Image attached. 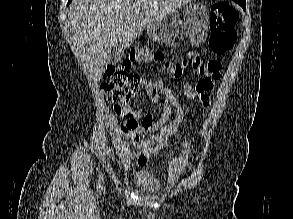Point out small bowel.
<instances>
[{
	"label": "small bowel",
	"instance_id": "obj_1",
	"mask_svg": "<svg viewBox=\"0 0 293 219\" xmlns=\"http://www.w3.org/2000/svg\"><path fill=\"white\" fill-rule=\"evenodd\" d=\"M201 80L202 78L199 79L195 87H192L189 83H184L183 94L188 100L200 99L204 105H208L213 84L206 90H200L198 85ZM143 87L151 97L154 105L159 107L158 115L149 113L140 118L139 112L127 107L124 111L127 121L122 127L123 133L132 137L136 148L142 152V155L137 160V165L139 166L145 165L149 157L168 147L169 141L179 132L178 128L185 110L189 109L188 106H183L172 91L161 82L145 80L143 81ZM172 109L175 110L176 118L171 125L165 126ZM158 129L161 130L159 135L145 137L144 132Z\"/></svg>",
	"mask_w": 293,
	"mask_h": 219
}]
</instances>
